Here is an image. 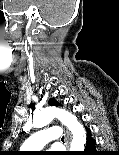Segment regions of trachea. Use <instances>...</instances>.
<instances>
[{"instance_id":"trachea-1","label":"trachea","mask_w":119,"mask_h":155,"mask_svg":"<svg viewBox=\"0 0 119 155\" xmlns=\"http://www.w3.org/2000/svg\"><path fill=\"white\" fill-rule=\"evenodd\" d=\"M61 140L64 141V137H62Z\"/></svg>"}]
</instances>
